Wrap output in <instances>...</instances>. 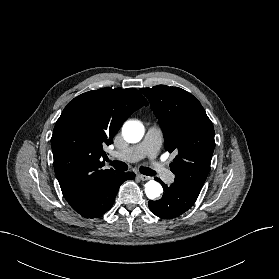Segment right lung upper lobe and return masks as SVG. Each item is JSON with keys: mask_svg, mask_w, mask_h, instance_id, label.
<instances>
[{"mask_svg": "<svg viewBox=\"0 0 279 279\" xmlns=\"http://www.w3.org/2000/svg\"><path fill=\"white\" fill-rule=\"evenodd\" d=\"M143 105L148 102L135 88H102L77 96L63 110L51 143L56 177L74 210L87 206L101 182L116 172L102 168L103 147Z\"/></svg>", "mask_w": 279, "mask_h": 279, "instance_id": "1", "label": "right lung upper lobe"}]
</instances>
